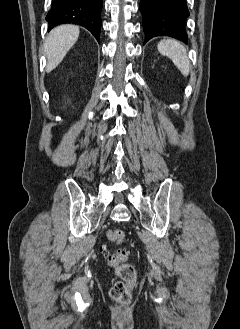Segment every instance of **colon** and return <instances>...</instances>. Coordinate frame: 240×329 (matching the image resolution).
I'll list each match as a JSON object with an SVG mask.
<instances>
[{"instance_id": "5ec220e1", "label": "colon", "mask_w": 240, "mask_h": 329, "mask_svg": "<svg viewBox=\"0 0 240 329\" xmlns=\"http://www.w3.org/2000/svg\"><path fill=\"white\" fill-rule=\"evenodd\" d=\"M108 236L112 242L120 244L124 240L125 234L122 230L116 229L109 231ZM129 255L130 252L126 249L114 253L104 251L106 261L116 270L120 278L111 288L110 295L115 301L122 304H128L131 301V293L137 278L135 268L130 264L123 263Z\"/></svg>"}]
</instances>
